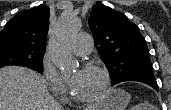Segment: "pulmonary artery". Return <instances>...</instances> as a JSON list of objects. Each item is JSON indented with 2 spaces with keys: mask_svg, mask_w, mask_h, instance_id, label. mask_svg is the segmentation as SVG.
I'll return each instance as SVG.
<instances>
[{
  "mask_svg": "<svg viewBox=\"0 0 171 110\" xmlns=\"http://www.w3.org/2000/svg\"><path fill=\"white\" fill-rule=\"evenodd\" d=\"M93 46L92 38L86 33L77 34L72 42L73 52L78 55L88 54Z\"/></svg>",
  "mask_w": 171,
  "mask_h": 110,
  "instance_id": "1",
  "label": "pulmonary artery"
}]
</instances>
